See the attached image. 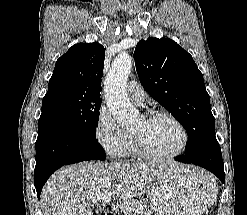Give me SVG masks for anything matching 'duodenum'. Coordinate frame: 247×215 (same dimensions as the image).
Returning <instances> with one entry per match:
<instances>
[{
  "label": "duodenum",
  "instance_id": "410a0bca",
  "mask_svg": "<svg viewBox=\"0 0 247 215\" xmlns=\"http://www.w3.org/2000/svg\"><path fill=\"white\" fill-rule=\"evenodd\" d=\"M105 215H114V213H107V214H105Z\"/></svg>",
  "mask_w": 247,
  "mask_h": 215
}]
</instances>
